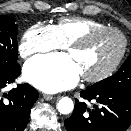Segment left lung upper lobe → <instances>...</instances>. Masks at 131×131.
Returning a JSON list of instances; mask_svg holds the SVG:
<instances>
[{
    "instance_id": "obj_1",
    "label": "left lung upper lobe",
    "mask_w": 131,
    "mask_h": 131,
    "mask_svg": "<svg viewBox=\"0 0 131 131\" xmlns=\"http://www.w3.org/2000/svg\"><path fill=\"white\" fill-rule=\"evenodd\" d=\"M91 88L105 92H125L131 94V55L116 74L95 83Z\"/></svg>"
}]
</instances>
